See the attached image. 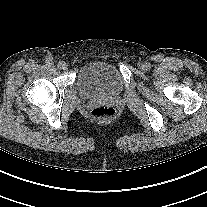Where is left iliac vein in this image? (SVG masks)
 I'll return each mask as SVG.
<instances>
[{
    "label": "left iliac vein",
    "mask_w": 207,
    "mask_h": 207,
    "mask_svg": "<svg viewBox=\"0 0 207 207\" xmlns=\"http://www.w3.org/2000/svg\"><path fill=\"white\" fill-rule=\"evenodd\" d=\"M139 68H140L141 70H145L147 67H146V64L140 63V64H139Z\"/></svg>",
    "instance_id": "left-iliac-vein-1"
}]
</instances>
